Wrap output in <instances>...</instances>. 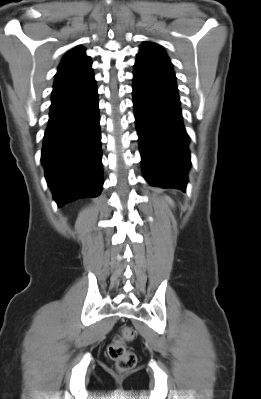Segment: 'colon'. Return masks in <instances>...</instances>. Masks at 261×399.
Masks as SVG:
<instances>
[{"mask_svg":"<svg viewBox=\"0 0 261 399\" xmlns=\"http://www.w3.org/2000/svg\"><path fill=\"white\" fill-rule=\"evenodd\" d=\"M134 337V329L130 326H123L107 348L108 356L115 362L119 371H128L136 365L135 353L126 347V343L131 342Z\"/></svg>","mask_w":261,"mask_h":399,"instance_id":"1","label":"colon"}]
</instances>
